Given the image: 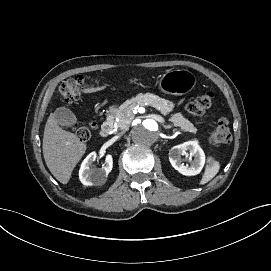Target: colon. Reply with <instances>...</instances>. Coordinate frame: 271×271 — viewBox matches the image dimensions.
Returning <instances> with one entry per match:
<instances>
[{"label": "colon", "instance_id": "colon-1", "mask_svg": "<svg viewBox=\"0 0 271 271\" xmlns=\"http://www.w3.org/2000/svg\"><path fill=\"white\" fill-rule=\"evenodd\" d=\"M93 86H95V82H93L90 78L85 76H75L60 83L58 95L65 102H73L80 97L84 90ZM214 99L215 95L212 91L204 92L195 100L187 104V110L193 116L200 118L212 105ZM94 128V123L77 124L74 127V131L81 141H87L90 139ZM208 138L213 145L230 143L231 131L229 122L226 119H219L217 122H215L209 130Z\"/></svg>", "mask_w": 271, "mask_h": 271}]
</instances>
